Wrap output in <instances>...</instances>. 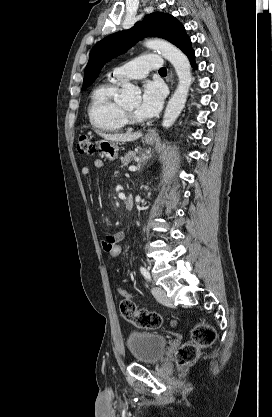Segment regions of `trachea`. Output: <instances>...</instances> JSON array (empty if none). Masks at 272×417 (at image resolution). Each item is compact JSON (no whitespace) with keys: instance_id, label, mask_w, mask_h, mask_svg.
<instances>
[{"instance_id":"1","label":"trachea","mask_w":272,"mask_h":417,"mask_svg":"<svg viewBox=\"0 0 272 417\" xmlns=\"http://www.w3.org/2000/svg\"><path fill=\"white\" fill-rule=\"evenodd\" d=\"M159 73H167L166 68H165V67L161 68V69L159 70Z\"/></svg>"}]
</instances>
